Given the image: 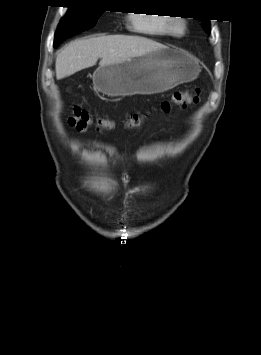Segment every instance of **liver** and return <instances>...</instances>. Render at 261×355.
Returning <instances> with one entry per match:
<instances>
[{
    "instance_id": "1",
    "label": "liver",
    "mask_w": 261,
    "mask_h": 355,
    "mask_svg": "<svg viewBox=\"0 0 261 355\" xmlns=\"http://www.w3.org/2000/svg\"><path fill=\"white\" fill-rule=\"evenodd\" d=\"M164 45L140 36L108 35L78 39L70 42L58 55L55 63L56 78L94 66L119 63L160 49Z\"/></svg>"
}]
</instances>
